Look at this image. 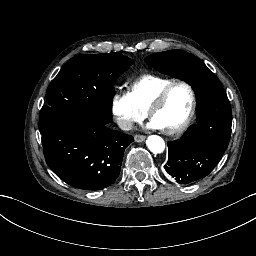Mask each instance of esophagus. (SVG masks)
I'll use <instances>...</instances> for the list:
<instances>
[{
	"label": "esophagus",
	"mask_w": 256,
	"mask_h": 256,
	"mask_svg": "<svg viewBox=\"0 0 256 256\" xmlns=\"http://www.w3.org/2000/svg\"><path fill=\"white\" fill-rule=\"evenodd\" d=\"M145 138H146V136L140 135V134H136V135L134 136L135 142H142L143 140H145Z\"/></svg>",
	"instance_id": "34e87169"
}]
</instances>
